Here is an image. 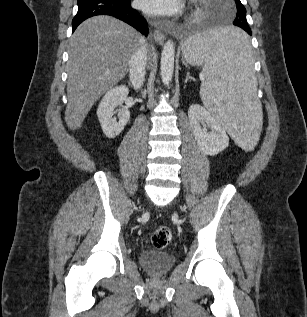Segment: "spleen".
<instances>
[{
    "label": "spleen",
    "mask_w": 307,
    "mask_h": 317,
    "mask_svg": "<svg viewBox=\"0 0 307 317\" xmlns=\"http://www.w3.org/2000/svg\"><path fill=\"white\" fill-rule=\"evenodd\" d=\"M188 63L201 65L206 82L200 96L210 114L228 130L241 150L260 148L254 139L261 122V104L251 63L246 29L209 26L182 47Z\"/></svg>",
    "instance_id": "spleen-1"
}]
</instances>
